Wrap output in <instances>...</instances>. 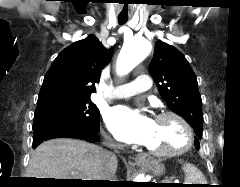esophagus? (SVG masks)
Instances as JSON below:
<instances>
[{
  "mask_svg": "<svg viewBox=\"0 0 240 187\" xmlns=\"http://www.w3.org/2000/svg\"><path fill=\"white\" fill-rule=\"evenodd\" d=\"M137 163H148L151 160V156L149 154H139L135 158Z\"/></svg>",
  "mask_w": 240,
  "mask_h": 187,
  "instance_id": "obj_1",
  "label": "esophagus"
}]
</instances>
